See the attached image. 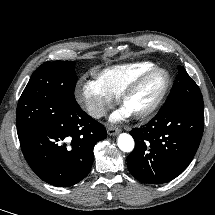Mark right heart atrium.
Segmentation results:
<instances>
[{"instance_id": "d8ad5b80", "label": "right heart atrium", "mask_w": 215, "mask_h": 215, "mask_svg": "<svg viewBox=\"0 0 215 215\" xmlns=\"http://www.w3.org/2000/svg\"><path fill=\"white\" fill-rule=\"evenodd\" d=\"M77 103L93 118L104 117L116 101V95L96 79H81L75 89Z\"/></svg>"}]
</instances>
